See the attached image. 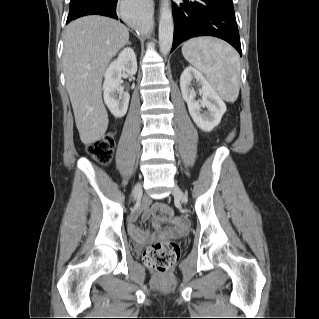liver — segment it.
Masks as SVG:
<instances>
[{
    "label": "liver",
    "instance_id": "liver-1",
    "mask_svg": "<svg viewBox=\"0 0 319 319\" xmlns=\"http://www.w3.org/2000/svg\"><path fill=\"white\" fill-rule=\"evenodd\" d=\"M128 40V28L104 16L81 17L66 27L62 57L66 88L80 139L86 145L101 139L107 130L102 77Z\"/></svg>",
    "mask_w": 319,
    "mask_h": 319
}]
</instances>
